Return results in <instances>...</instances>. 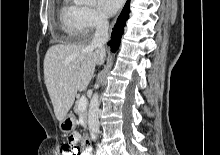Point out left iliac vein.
<instances>
[{
	"mask_svg": "<svg viewBox=\"0 0 220 155\" xmlns=\"http://www.w3.org/2000/svg\"><path fill=\"white\" fill-rule=\"evenodd\" d=\"M101 155H107L106 153H102Z\"/></svg>",
	"mask_w": 220,
	"mask_h": 155,
	"instance_id": "obj_1",
	"label": "left iliac vein"
}]
</instances>
